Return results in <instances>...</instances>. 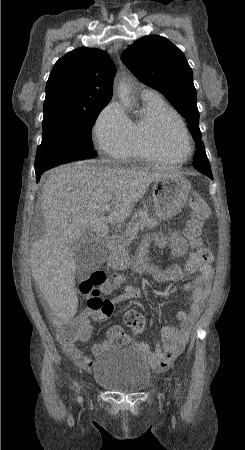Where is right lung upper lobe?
<instances>
[{
  "instance_id": "obj_1",
  "label": "right lung upper lobe",
  "mask_w": 245,
  "mask_h": 450,
  "mask_svg": "<svg viewBox=\"0 0 245 450\" xmlns=\"http://www.w3.org/2000/svg\"><path fill=\"white\" fill-rule=\"evenodd\" d=\"M115 73L113 61L100 49L78 48L68 52L50 73L44 110H90L108 104Z\"/></svg>"
}]
</instances>
